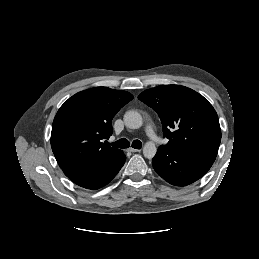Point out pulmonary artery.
Segmentation results:
<instances>
[{"label":"pulmonary artery","mask_w":259,"mask_h":259,"mask_svg":"<svg viewBox=\"0 0 259 259\" xmlns=\"http://www.w3.org/2000/svg\"><path fill=\"white\" fill-rule=\"evenodd\" d=\"M145 133L146 135L153 141H156L157 140V136L154 132V129L152 127V125L150 123H148L145 127Z\"/></svg>","instance_id":"obj_1"}]
</instances>
